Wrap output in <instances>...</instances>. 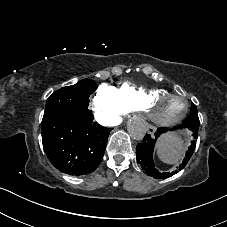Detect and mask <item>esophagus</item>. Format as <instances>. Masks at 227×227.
I'll use <instances>...</instances> for the list:
<instances>
[{
    "label": "esophagus",
    "instance_id": "esophagus-1",
    "mask_svg": "<svg viewBox=\"0 0 227 227\" xmlns=\"http://www.w3.org/2000/svg\"><path fill=\"white\" fill-rule=\"evenodd\" d=\"M147 129H148V131H149V132H151V133H152V132H154V131H155V129H156V128H155V126H154V125H152V124H151V125H149V126H148V128H147Z\"/></svg>",
    "mask_w": 227,
    "mask_h": 227
}]
</instances>
